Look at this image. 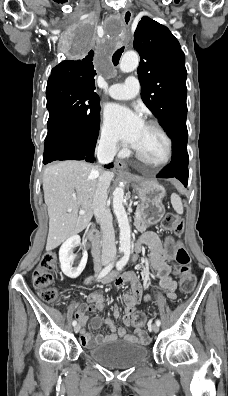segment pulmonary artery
<instances>
[{"mask_svg":"<svg viewBox=\"0 0 228 396\" xmlns=\"http://www.w3.org/2000/svg\"><path fill=\"white\" fill-rule=\"evenodd\" d=\"M140 90V84L135 76H129L124 83L112 84L109 95L113 99L128 100L136 97Z\"/></svg>","mask_w":228,"mask_h":396,"instance_id":"1","label":"pulmonary artery"}]
</instances>
